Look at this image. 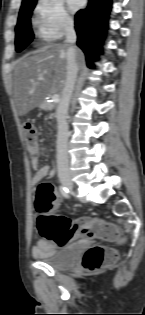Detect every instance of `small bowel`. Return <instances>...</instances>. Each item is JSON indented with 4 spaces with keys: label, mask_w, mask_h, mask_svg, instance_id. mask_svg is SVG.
<instances>
[{
    "label": "small bowel",
    "mask_w": 145,
    "mask_h": 315,
    "mask_svg": "<svg viewBox=\"0 0 145 315\" xmlns=\"http://www.w3.org/2000/svg\"><path fill=\"white\" fill-rule=\"evenodd\" d=\"M32 166L36 169V173L33 177V183L36 184L41 180L47 178L51 174V166L44 165L38 166V158L33 156L31 158ZM56 245L55 241L50 239H39L36 245L33 247L32 254L35 258H46L55 253Z\"/></svg>",
    "instance_id": "small-bowel-1"
}]
</instances>
